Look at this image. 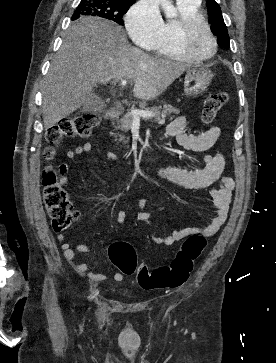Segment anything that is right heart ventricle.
Instances as JSON below:
<instances>
[{
    "instance_id": "obj_1",
    "label": "right heart ventricle",
    "mask_w": 276,
    "mask_h": 363,
    "mask_svg": "<svg viewBox=\"0 0 276 363\" xmlns=\"http://www.w3.org/2000/svg\"><path fill=\"white\" fill-rule=\"evenodd\" d=\"M177 8L179 11L178 18L164 21L158 38L147 47L159 56L188 61L177 43V26L185 18L203 16L200 11V2L177 1Z\"/></svg>"
}]
</instances>
